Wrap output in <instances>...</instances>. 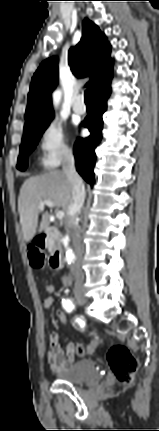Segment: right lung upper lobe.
I'll list each match as a JSON object with an SVG mask.
<instances>
[{
  "mask_svg": "<svg viewBox=\"0 0 159 431\" xmlns=\"http://www.w3.org/2000/svg\"><path fill=\"white\" fill-rule=\"evenodd\" d=\"M110 51L111 46L98 26L85 19L82 39L69 50L68 63L75 76H90L86 86L93 87L94 92L113 76ZM57 82L58 59L51 57L40 64L32 78L24 131L54 117L51 93Z\"/></svg>",
  "mask_w": 159,
  "mask_h": 431,
  "instance_id": "1",
  "label": "right lung upper lobe"
}]
</instances>
